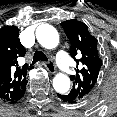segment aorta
<instances>
[{"instance_id":"aorta-1","label":"aorta","mask_w":117,"mask_h":117,"mask_svg":"<svg viewBox=\"0 0 117 117\" xmlns=\"http://www.w3.org/2000/svg\"><path fill=\"white\" fill-rule=\"evenodd\" d=\"M36 38L41 46L47 49L56 48L59 44V34L57 30L49 25L42 24L36 29ZM53 87L56 92L65 94L70 89V79L63 73L57 74L53 79Z\"/></svg>"}]
</instances>
